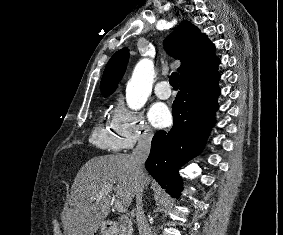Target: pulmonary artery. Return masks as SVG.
<instances>
[{
	"label": "pulmonary artery",
	"instance_id": "obj_1",
	"mask_svg": "<svg viewBox=\"0 0 283 235\" xmlns=\"http://www.w3.org/2000/svg\"><path fill=\"white\" fill-rule=\"evenodd\" d=\"M155 95L160 99H168L172 92L169 88L168 82L163 80L157 83L154 88Z\"/></svg>",
	"mask_w": 283,
	"mask_h": 235
}]
</instances>
